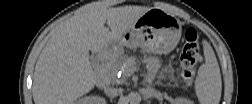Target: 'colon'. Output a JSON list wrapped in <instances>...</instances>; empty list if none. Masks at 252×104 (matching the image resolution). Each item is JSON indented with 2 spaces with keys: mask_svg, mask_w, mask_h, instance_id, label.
Masks as SVG:
<instances>
[{
  "mask_svg": "<svg viewBox=\"0 0 252 104\" xmlns=\"http://www.w3.org/2000/svg\"><path fill=\"white\" fill-rule=\"evenodd\" d=\"M182 74L191 83L195 75V65L200 60V43L198 33L190 28L184 34V44L181 53Z\"/></svg>",
  "mask_w": 252,
  "mask_h": 104,
  "instance_id": "5ec220e1",
  "label": "colon"
}]
</instances>
